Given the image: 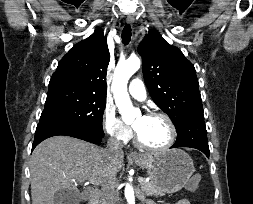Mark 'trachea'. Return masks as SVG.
Masks as SVG:
<instances>
[{"label":"trachea","instance_id":"3493384b","mask_svg":"<svg viewBox=\"0 0 253 204\" xmlns=\"http://www.w3.org/2000/svg\"><path fill=\"white\" fill-rule=\"evenodd\" d=\"M131 27L130 25H126L124 28H123V31H122V35H121V38H122V43L126 46L129 44L130 40H131Z\"/></svg>","mask_w":253,"mask_h":204}]
</instances>
